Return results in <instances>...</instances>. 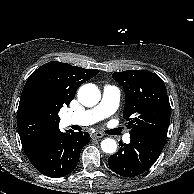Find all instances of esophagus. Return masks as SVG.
Masks as SVG:
<instances>
[{
	"label": "esophagus",
	"mask_w": 194,
	"mask_h": 194,
	"mask_svg": "<svg viewBox=\"0 0 194 194\" xmlns=\"http://www.w3.org/2000/svg\"><path fill=\"white\" fill-rule=\"evenodd\" d=\"M104 136V134L102 132H95L94 134H92V138H102Z\"/></svg>",
	"instance_id": "obj_1"
}]
</instances>
